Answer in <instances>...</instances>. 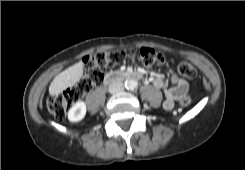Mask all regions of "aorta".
Here are the masks:
<instances>
[{
  "mask_svg": "<svg viewBox=\"0 0 245 170\" xmlns=\"http://www.w3.org/2000/svg\"><path fill=\"white\" fill-rule=\"evenodd\" d=\"M138 85L137 80L134 79H129L126 81V88L130 89V90H134Z\"/></svg>",
  "mask_w": 245,
  "mask_h": 170,
  "instance_id": "aorta-1",
  "label": "aorta"
}]
</instances>
